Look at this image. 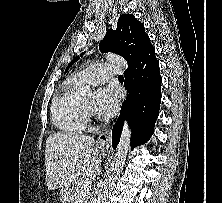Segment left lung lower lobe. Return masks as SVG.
Here are the masks:
<instances>
[{
	"label": "left lung lower lobe",
	"mask_w": 222,
	"mask_h": 203,
	"mask_svg": "<svg viewBox=\"0 0 222 203\" xmlns=\"http://www.w3.org/2000/svg\"><path fill=\"white\" fill-rule=\"evenodd\" d=\"M125 88L129 96L124 101L120 115L112 130L115 149L120 140L123 122L128 117L132 128L131 146L146 142L154 131L161 102V76L155 49L148 37L139 54L124 72Z\"/></svg>",
	"instance_id": "1"
}]
</instances>
